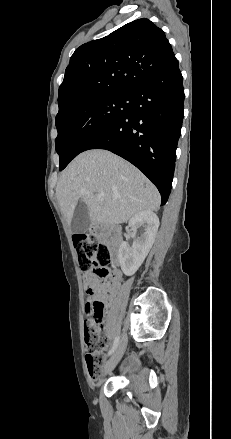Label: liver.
Listing matches in <instances>:
<instances>
[{"mask_svg": "<svg viewBox=\"0 0 231 439\" xmlns=\"http://www.w3.org/2000/svg\"><path fill=\"white\" fill-rule=\"evenodd\" d=\"M103 193L104 199L96 195ZM56 196L70 226L82 200L92 221L118 225L142 211H157L161 197L157 188L132 164L107 150L80 153L63 171Z\"/></svg>", "mask_w": 231, "mask_h": 439, "instance_id": "liver-1", "label": "liver"}]
</instances>
